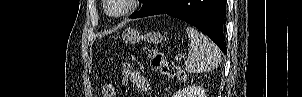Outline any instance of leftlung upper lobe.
Returning a JSON list of instances; mask_svg holds the SVG:
<instances>
[{
  "label": "left lung upper lobe",
  "instance_id": "5c2ea615",
  "mask_svg": "<svg viewBox=\"0 0 302 97\" xmlns=\"http://www.w3.org/2000/svg\"><path fill=\"white\" fill-rule=\"evenodd\" d=\"M150 1H151V0H140V2L143 3L142 8L146 7ZM142 8H141V9H142Z\"/></svg>",
  "mask_w": 302,
  "mask_h": 97
}]
</instances>
